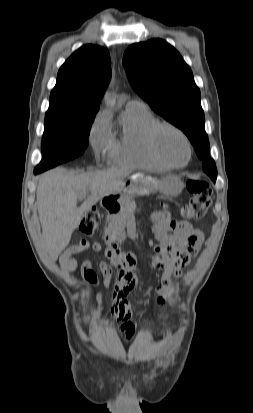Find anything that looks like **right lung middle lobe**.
<instances>
[{
  "instance_id": "dd1d6c3e",
  "label": "right lung middle lobe",
  "mask_w": 253,
  "mask_h": 413,
  "mask_svg": "<svg viewBox=\"0 0 253 413\" xmlns=\"http://www.w3.org/2000/svg\"><path fill=\"white\" fill-rule=\"evenodd\" d=\"M95 115H58L45 117L42 161L35 170L45 171L82 155Z\"/></svg>"
}]
</instances>
